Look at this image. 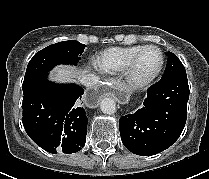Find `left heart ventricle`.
<instances>
[{"label": "left heart ventricle", "instance_id": "1", "mask_svg": "<svg viewBox=\"0 0 209 179\" xmlns=\"http://www.w3.org/2000/svg\"><path fill=\"white\" fill-rule=\"evenodd\" d=\"M161 55L157 49L146 50L138 60L135 74L138 78H143L153 74L159 67Z\"/></svg>", "mask_w": 209, "mask_h": 179}]
</instances>
